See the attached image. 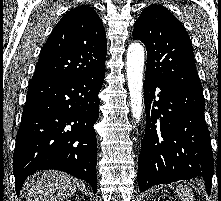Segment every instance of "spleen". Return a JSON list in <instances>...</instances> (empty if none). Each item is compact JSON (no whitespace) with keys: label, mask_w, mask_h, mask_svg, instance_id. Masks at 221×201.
I'll return each instance as SVG.
<instances>
[{"label":"spleen","mask_w":221,"mask_h":201,"mask_svg":"<svg viewBox=\"0 0 221 201\" xmlns=\"http://www.w3.org/2000/svg\"><path fill=\"white\" fill-rule=\"evenodd\" d=\"M177 194L182 201H194V194L192 190L187 187H178Z\"/></svg>","instance_id":"3e777b00"}]
</instances>
